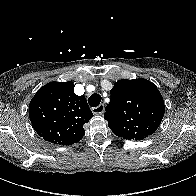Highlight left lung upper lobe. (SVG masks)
Here are the masks:
<instances>
[{"mask_svg": "<svg viewBox=\"0 0 196 196\" xmlns=\"http://www.w3.org/2000/svg\"><path fill=\"white\" fill-rule=\"evenodd\" d=\"M105 120L112 132L128 140H142L161 124L165 105L157 87L146 79H121L110 91Z\"/></svg>", "mask_w": 196, "mask_h": 196, "instance_id": "1", "label": "left lung upper lobe"}]
</instances>
